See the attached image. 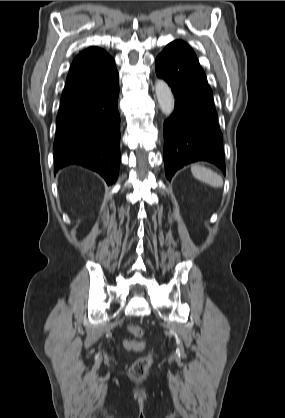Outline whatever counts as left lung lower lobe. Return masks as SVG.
Listing matches in <instances>:
<instances>
[{
    "instance_id": "left-lung-lower-lobe-1",
    "label": "left lung lower lobe",
    "mask_w": 285,
    "mask_h": 418,
    "mask_svg": "<svg viewBox=\"0 0 285 418\" xmlns=\"http://www.w3.org/2000/svg\"><path fill=\"white\" fill-rule=\"evenodd\" d=\"M156 74L176 98L164 122V163L167 179L186 164L208 161L225 173L222 133L213 95L196 54L181 40L169 43L156 58Z\"/></svg>"
}]
</instances>
